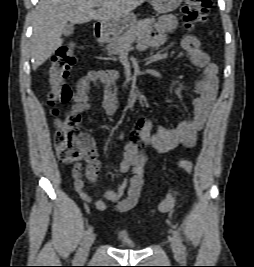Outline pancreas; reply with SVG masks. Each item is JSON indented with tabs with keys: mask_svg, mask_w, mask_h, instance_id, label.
<instances>
[{
	"mask_svg": "<svg viewBox=\"0 0 254 267\" xmlns=\"http://www.w3.org/2000/svg\"><path fill=\"white\" fill-rule=\"evenodd\" d=\"M151 20L136 21L123 35L113 36L106 47L110 54H118L122 49L130 45L148 33L151 29Z\"/></svg>",
	"mask_w": 254,
	"mask_h": 267,
	"instance_id": "1",
	"label": "pancreas"
}]
</instances>
